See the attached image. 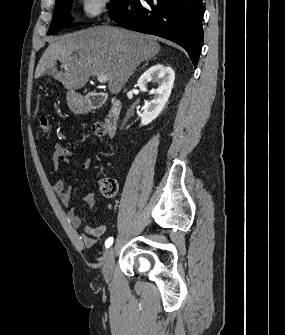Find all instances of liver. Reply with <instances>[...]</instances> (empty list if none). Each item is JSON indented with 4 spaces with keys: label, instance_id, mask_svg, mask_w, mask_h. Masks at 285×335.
<instances>
[{
    "label": "liver",
    "instance_id": "liver-1",
    "mask_svg": "<svg viewBox=\"0 0 285 335\" xmlns=\"http://www.w3.org/2000/svg\"><path fill=\"white\" fill-rule=\"evenodd\" d=\"M159 50L155 36L96 26L49 40L35 76L39 78L46 70L57 72L55 66L60 62L64 72L57 74V78L66 90H79L91 76L105 74L110 94H119L137 66L157 56Z\"/></svg>",
    "mask_w": 285,
    "mask_h": 335
}]
</instances>
